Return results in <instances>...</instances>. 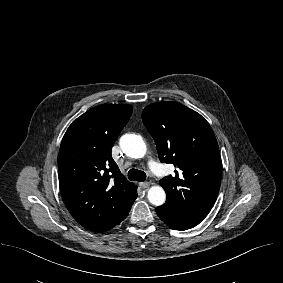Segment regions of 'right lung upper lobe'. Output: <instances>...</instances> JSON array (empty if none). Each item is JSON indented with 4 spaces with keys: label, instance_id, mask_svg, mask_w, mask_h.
Listing matches in <instances>:
<instances>
[{
    "label": "right lung upper lobe",
    "instance_id": "right-lung-upper-lobe-1",
    "mask_svg": "<svg viewBox=\"0 0 283 283\" xmlns=\"http://www.w3.org/2000/svg\"><path fill=\"white\" fill-rule=\"evenodd\" d=\"M133 107L105 104L93 107L72 122L59 150V184L73 218L101 233L121 222L137 198L112 158L111 148L127 124Z\"/></svg>",
    "mask_w": 283,
    "mask_h": 283
}]
</instances>
